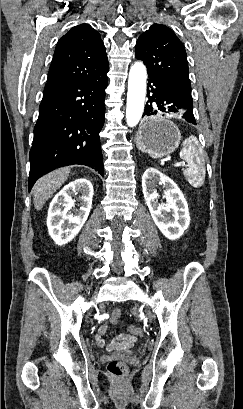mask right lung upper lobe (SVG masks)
Segmentation results:
<instances>
[{"label": "right lung upper lobe", "instance_id": "1", "mask_svg": "<svg viewBox=\"0 0 243 409\" xmlns=\"http://www.w3.org/2000/svg\"><path fill=\"white\" fill-rule=\"evenodd\" d=\"M109 68L100 34L88 24L73 27L57 43L47 83L84 81Z\"/></svg>", "mask_w": 243, "mask_h": 409}]
</instances>
